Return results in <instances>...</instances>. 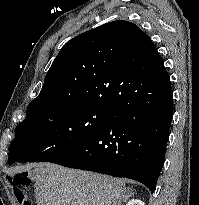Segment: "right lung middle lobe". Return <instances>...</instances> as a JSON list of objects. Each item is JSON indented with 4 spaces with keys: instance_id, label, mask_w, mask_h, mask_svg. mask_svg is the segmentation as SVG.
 <instances>
[{
    "instance_id": "dd1d6c3e",
    "label": "right lung middle lobe",
    "mask_w": 199,
    "mask_h": 205,
    "mask_svg": "<svg viewBox=\"0 0 199 205\" xmlns=\"http://www.w3.org/2000/svg\"><path fill=\"white\" fill-rule=\"evenodd\" d=\"M111 112L68 103L27 108L25 120L15 129L8 163L50 162L61 157L105 128Z\"/></svg>"
}]
</instances>
